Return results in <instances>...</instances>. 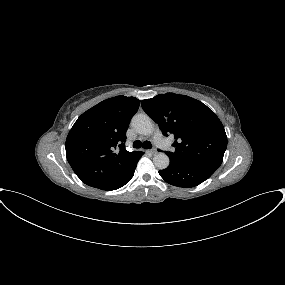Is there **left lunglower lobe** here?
Wrapping results in <instances>:
<instances>
[{
    "label": "left lung lower lobe",
    "instance_id": "left-lung-lower-lobe-1",
    "mask_svg": "<svg viewBox=\"0 0 285 285\" xmlns=\"http://www.w3.org/2000/svg\"><path fill=\"white\" fill-rule=\"evenodd\" d=\"M214 172L215 170L207 167L170 161V165L166 169L160 170L159 174L171 185L191 188L207 180Z\"/></svg>",
    "mask_w": 285,
    "mask_h": 285
}]
</instances>
